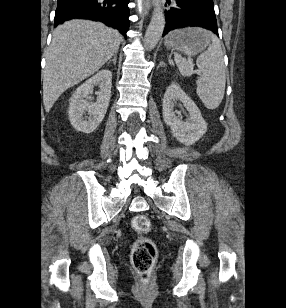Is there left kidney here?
Returning <instances> with one entry per match:
<instances>
[{
	"label": "left kidney",
	"instance_id": "5707ae66",
	"mask_svg": "<svg viewBox=\"0 0 286 308\" xmlns=\"http://www.w3.org/2000/svg\"><path fill=\"white\" fill-rule=\"evenodd\" d=\"M180 101L188 110L190 117L184 122L176 115L174 106ZM163 119L171 127V133L179 142L192 145L207 131V123L194 101L175 83L166 90L163 98Z\"/></svg>",
	"mask_w": 286,
	"mask_h": 308
}]
</instances>
